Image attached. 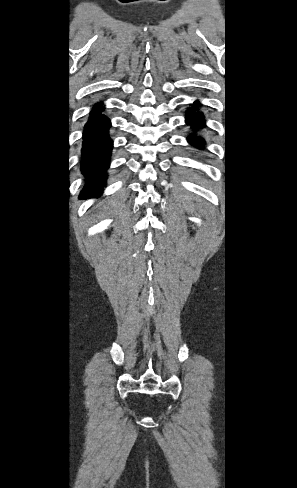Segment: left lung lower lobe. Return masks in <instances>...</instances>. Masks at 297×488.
Segmentation results:
<instances>
[{"label": "left lung lower lobe", "instance_id": "obj_1", "mask_svg": "<svg viewBox=\"0 0 297 488\" xmlns=\"http://www.w3.org/2000/svg\"><path fill=\"white\" fill-rule=\"evenodd\" d=\"M194 104L198 105L199 102L195 101ZM186 123H189L193 128H201L205 124V120L203 118V114L192 112L186 116ZM188 140L189 143L198 147H202L204 145V141L200 137H196L194 134H192Z\"/></svg>", "mask_w": 297, "mask_h": 488}]
</instances>
